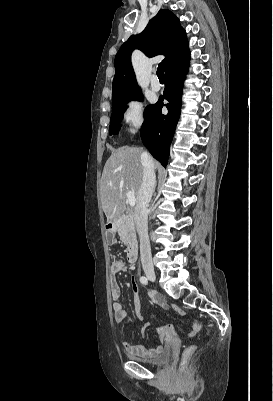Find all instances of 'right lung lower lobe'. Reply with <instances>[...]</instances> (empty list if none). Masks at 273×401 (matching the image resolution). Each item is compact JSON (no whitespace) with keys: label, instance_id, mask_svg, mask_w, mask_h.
<instances>
[{"label":"right lung lower lobe","instance_id":"right-lung-lower-lobe-1","mask_svg":"<svg viewBox=\"0 0 273 401\" xmlns=\"http://www.w3.org/2000/svg\"><path fill=\"white\" fill-rule=\"evenodd\" d=\"M189 58L175 65L166 73L164 99L168 114H162L163 98L152 105L148 124L141 129L144 145L163 166L167 165L169 148L180 116L183 82Z\"/></svg>","mask_w":273,"mask_h":401}]
</instances>
